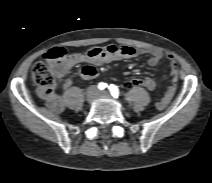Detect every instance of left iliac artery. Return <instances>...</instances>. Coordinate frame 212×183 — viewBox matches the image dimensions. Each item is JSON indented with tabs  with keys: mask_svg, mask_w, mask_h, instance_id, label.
<instances>
[{
	"mask_svg": "<svg viewBox=\"0 0 212 183\" xmlns=\"http://www.w3.org/2000/svg\"><path fill=\"white\" fill-rule=\"evenodd\" d=\"M109 91H110L111 95H112L114 98H118V96H119V90H118L117 86L111 84V85L109 86Z\"/></svg>",
	"mask_w": 212,
	"mask_h": 183,
	"instance_id": "44dca946",
	"label": "left iliac artery"
}]
</instances>
